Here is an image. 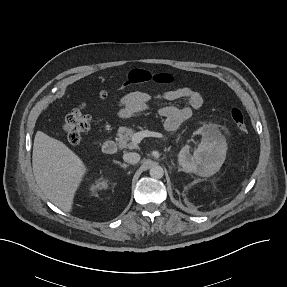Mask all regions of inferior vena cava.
<instances>
[{
  "label": "inferior vena cava",
  "mask_w": 287,
  "mask_h": 287,
  "mask_svg": "<svg viewBox=\"0 0 287 287\" xmlns=\"http://www.w3.org/2000/svg\"><path fill=\"white\" fill-rule=\"evenodd\" d=\"M123 160L127 163H130V164H136L140 160V155L138 153H135V152L125 153L123 155Z\"/></svg>",
  "instance_id": "1"
}]
</instances>
